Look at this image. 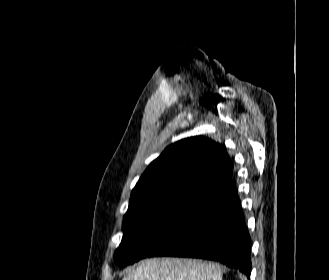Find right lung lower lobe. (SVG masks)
I'll return each instance as SVG.
<instances>
[{"instance_id": "right-lung-lower-lobe-1", "label": "right lung lower lobe", "mask_w": 329, "mask_h": 280, "mask_svg": "<svg viewBox=\"0 0 329 280\" xmlns=\"http://www.w3.org/2000/svg\"><path fill=\"white\" fill-rule=\"evenodd\" d=\"M192 257L219 261L251 273L250 236L241 203L230 179L149 256Z\"/></svg>"}]
</instances>
